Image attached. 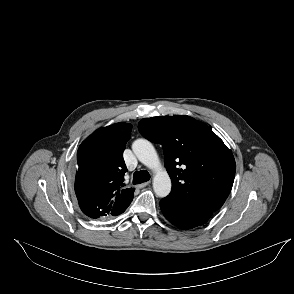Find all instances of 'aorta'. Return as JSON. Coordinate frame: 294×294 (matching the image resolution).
Masks as SVG:
<instances>
[{
  "mask_svg": "<svg viewBox=\"0 0 294 294\" xmlns=\"http://www.w3.org/2000/svg\"><path fill=\"white\" fill-rule=\"evenodd\" d=\"M132 150L138 160L154 171L153 189L158 197H166L171 191V179L166 170L162 169L157 152L153 145L145 139H137Z\"/></svg>",
  "mask_w": 294,
  "mask_h": 294,
  "instance_id": "762f6f07",
  "label": "aorta"
}]
</instances>
